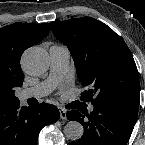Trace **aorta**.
<instances>
[{
  "label": "aorta",
  "instance_id": "aorta-1",
  "mask_svg": "<svg viewBox=\"0 0 145 145\" xmlns=\"http://www.w3.org/2000/svg\"><path fill=\"white\" fill-rule=\"evenodd\" d=\"M24 71L30 75H40L49 67V56L45 50L39 47L27 49L21 59ZM84 133L82 124L78 121H69L64 127L66 138L77 141Z\"/></svg>",
  "mask_w": 145,
  "mask_h": 145
}]
</instances>
